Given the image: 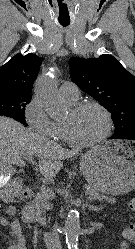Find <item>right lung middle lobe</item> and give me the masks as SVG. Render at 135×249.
<instances>
[{"instance_id":"1","label":"right lung middle lobe","mask_w":135,"mask_h":249,"mask_svg":"<svg viewBox=\"0 0 135 249\" xmlns=\"http://www.w3.org/2000/svg\"><path fill=\"white\" fill-rule=\"evenodd\" d=\"M30 100L31 95L27 94L0 93V115L12 117L27 126L24 110Z\"/></svg>"}]
</instances>
